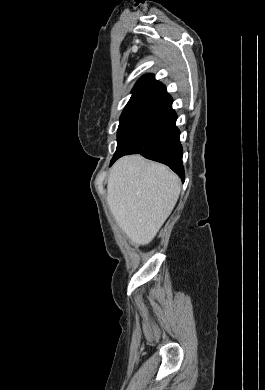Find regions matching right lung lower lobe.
I'll use <instances>...</instances> for the list:
<instances>
[{"instance_id": "obj_1", "label": "right lung lower lobe", "mask_w": 265, "mask_h": 390, "mask_svg": "<svg viewBox=\"0 0 265 390\" xmlns=\"http://www.w3.org/2000/svg\"><path fill=\"white\" fill-rule=\"evenodd\" d=\"M176 119L169 94L155 100L129 125L118 141L111 164L124 155L141 154L168 165L184 181L182 145Z\"/></svg>"}]
</instances>
